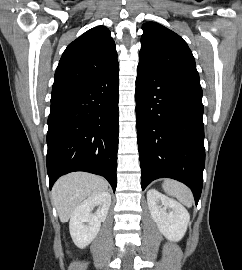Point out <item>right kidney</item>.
<instances>
[{
  "label": "right kidney",
  "mask_w": 242,
  "mask_h": 270,
  "mask_svg": "<svg viewBox=\"0 0 242 270\" xmlns=\"http://www.w3.org/2000/svg\"><path fill=\"white\" fill-rule=\"evenodd\" d=\"M111 204V195L101 192L80 203L71 215L69 229L73 242L79 248L89 245L97 236L101 222H104ZM98 206L93 214L92 210Z\"/></svg>",
  "instance_id": "1"
}]
</instances>
